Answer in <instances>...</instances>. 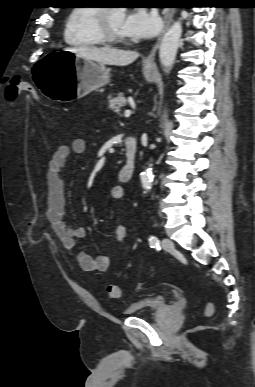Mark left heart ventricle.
Returning <instances> with one entry per match:
<instances>
[{"label": "left heart ventricle", "instance_id": "obj_1", "mask_svg": "<svg viewBox=\"0 0 255 387\" xmlns=\"http://www.w3.org/2000/svg\"><path fill=\"white\" fill-rule=\"evenodd\" d=\"M125 19V13L121 9H113L110 13V23L112 29L119 35L125 36L122 25Z\"/></svg>", "mask_w": 255, "mask_h": 387}]
</instances>
